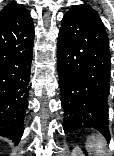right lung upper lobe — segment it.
<instances>
[{"mask_svg": "<svg viewBox=\"0 0 114 156\" xmlns=\"http://www.w3.org/2000/svg\"><path fill=\"white\" fill-rule=\"evenodd\" d=\"M21 9H23L22 5H18L16 3H10L0 11V19L6 17L9 14L15 13Z\"/></svg>", "mask_w": 114, "mask_h": 156, "instance_id": "1", "label": "right lung upper lobe"}]
</instances>
